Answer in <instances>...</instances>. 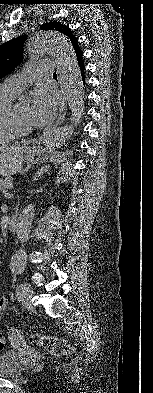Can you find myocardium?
<instances>
[{
	"mask_svg": "<svg viewBox=\"0 0 153 393\" xmlns=\"http://www.w3.org/2000/svg\"><path fill=\"white\" fill-rule=\"evenodd\" d=\"M15 107H16V105L12 106L11 111H10V118H11L12 127L18 136H26L32 131V128L30 126L23 125L20 122V120L18 119V117L16 115Z\"/></svg>",
	"mask_w": 153,
	"mask_h": 393,
	"instance_id": "obj_1",
	"label": "myocardium"
}]
</instances>
